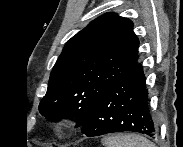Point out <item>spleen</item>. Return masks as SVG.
Returning a JSON list of instances; mask_svg holds the SVG:
<instances>
[{
  "mask_svg": "<svg viewBox=\"0 0 183 147\" xmlns=\"http://www.w3.org/2000/svg\"><path fill=\"white\" fill-rule=\"evenodd\" d=\"M104 147H155V144L136 134H116L103 137Z\"/></svg>",
  "mask_w": 183,
  "mask_h": 147,
  "instance_id": "1",
  "label": "spleen"
}]
</instances>
